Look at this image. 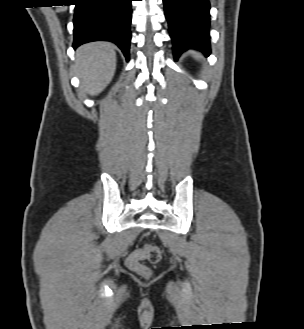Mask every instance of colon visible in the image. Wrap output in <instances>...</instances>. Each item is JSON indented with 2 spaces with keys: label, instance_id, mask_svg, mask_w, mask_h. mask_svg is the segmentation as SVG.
<instances>
[{
  "label": "colon",
  "instance_id": "5ec220e1",
  "mask_svg": "<svg viewBox=\"0 0 304 329\" xmlns=\"http://www.w3.org/2000/svg\"><path fill=\"white\" fill-rule=\"evenodd\" d=\"M162 258L161 250L152 245H145L142 249L132 252L126 259L127 267L142 277H149L151 269L142 264L143 260H147L152 264L158 263Z\"/></svg>",
  "mask_w": 304,
  "mask_h": 329
}]
</instances>
